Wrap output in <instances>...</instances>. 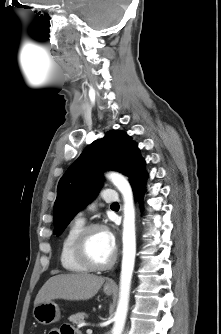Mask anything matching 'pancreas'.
<instances>
[{
  "label": "pancreas",
  "instance_id": "pancreas-1",
  "mask_svg": "<svg viewBox=\"0 0 221 334\" xmlns=\"http://www.w3.org/2000/svg\"><path fill=\"white\" fill-rule=\"evenodd\" d=\"M88 315L86 313H77L75 315H71L69 317V321H71L73 324L80 325L85 322V318H87Z\"/></svg>",
  "mask_w": 221,
  "mask_h": 334
}]
</instances>
